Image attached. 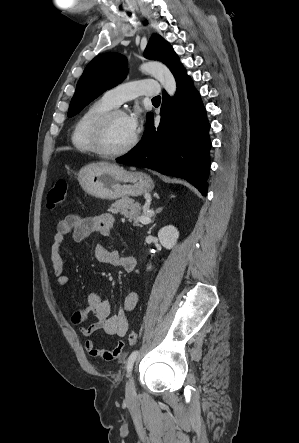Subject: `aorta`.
Returning <instances> with one entry per match:
<instances>
[{"label":"aorta","mask_w":299,"mask_h":443,"mask_svg":"<svg viewBox=\"0 0 299 443\" xmlns=\"http://www.w3.org/2000/svg\"><path fill=\"white\" fill-rule=\"evenodd\" d=\"M140 71L157 79L170 96L175 95L177 88L176 81L173 74L165 65L159 62L150 61L143 63L140 66Z\"/></svg>","instance_id":"762f6f07"}]
</instances>
